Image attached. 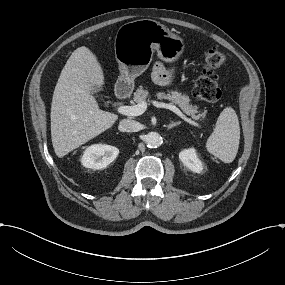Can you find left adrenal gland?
Returning a JSON list of instances; mask_svg holds the SVG:
<instances>
[{
	"label": "left adrenal gland",
	"mask_w": 285,
	"mask_h": 285,
	"mask_svg": "<svg viewBox=\"0 0 285 285\" xmlns=\"http://www.w3.org/2000/svg\"><path fill=\"white\" fill-rule=\"evenodd\" d=\"M180 124H181V122L173 123V124L167 125L166 128H167L168 130H171V129H173L174 127L179 126Z\"/></svg>",
	"instance_id": "a2214340"
}]
</instances>
